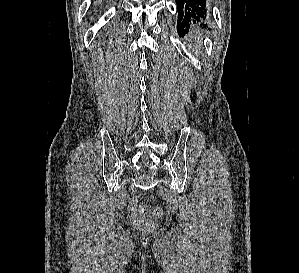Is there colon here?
I'll return each mask as SVG.
<instances>
[{
    "label": "colon",
    "mask_w": 299,
    "mask_h": 273,
    "mask_svg": "<svg viewBox=\"0 0 299 273\" xmlns=\"http://www.w3.org/2000/svg\"><path fill=\"white\" fill-rule=\"evenodd\" d=\"M161 214L162 210L159 207H149L141 204L137 200L133 201L130 206V216L133 222L143 227H148L150 224L144 221L141 216L150 215L153 217H159Z\"/></svg>",
    "instance_id": "1"
}]
</instances>
